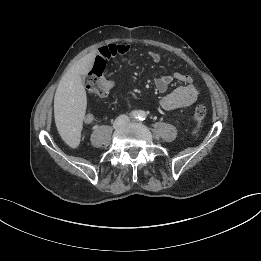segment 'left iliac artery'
Returning a JSON list of instances; mask_svg holds the SVG:
<instances>
[{
	"label": "left iliac artery",
	"instance_id": "obj_1",
	"mask_svg": "<svg viewBox=\"0 0 261 261\" xmlns=\"http://www.w3.org/2000/svg\"><path fill=\"white\" fill-rule=\"evenodd\" d=\"M138 118L140 120H144L146 118V114L144 112H141Z\"/></svg>",
	"mask_w": 261,
	"mask_h": 261
}]
</instances>
